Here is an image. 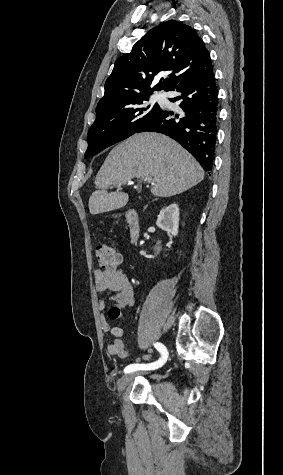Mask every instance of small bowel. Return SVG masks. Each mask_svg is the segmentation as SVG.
Returning a JSON list of instances; mask_svg holds the SVG:
<instances>
[{"label": "small bowel", "mask_w": 283, "mask_h": 475, "mask_svg": "<svg viewBox=\"0 0 283 475\" xmlns=\"http://www.w3.org/2000/svg\"><path fill=\"white\" fill-rule=\"evenodd\" d=\"M93 276L96 292L109 291L112 293L111 301L113 305L108 313L111 318L110 322L105 315L106 302L100 299L98 303L101 330L112 338L107 343L106 351L111 356L126 359L130 356V353L123 341V329L119 326L124 324L121 310L125 307L132 308L135 305L132 286L127 274L121 268L95 269Z\"/></svg>", "instance_id": "obj_1"}]
</instances>
